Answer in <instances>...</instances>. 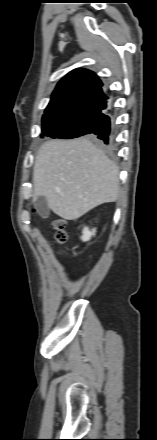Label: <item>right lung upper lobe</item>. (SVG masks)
I'll return each instance as SVG.
<instances>
[{
	"mask_svg": "<svg viewBox=\"0 0 157 440\" xmlns=\"http://www.w3.org/2000/svg\"><path fill=\"white\" fill-rule=\"evenodd\" d=\"M107 99L102 82L92 71L75 69L57 84L42 122L78 120L89 127L107 112Z\"/></svg>",
	"mask_w": 157,
	"mask_h": 440,
	"instance_id": "right-lung-upper-lobe-1",
	"label": "right lung upper lobe"
}]
</instances>
